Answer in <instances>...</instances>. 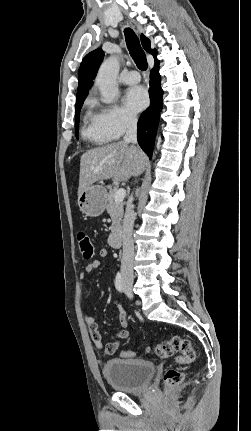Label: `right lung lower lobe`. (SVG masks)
Instances as JSON below:
<instances>
[{"instance_id": "obj_1", "label": "right lung lower lobe", "mask_w": 251, "mask_h": 431, "mask_svg": "<svg viewBox=\"0 0 251 431\" xmlns=\"http://www.w3.org/2000/svg\"><path fill=\"white\" fill-rule=\"evenodd\" d=\"M158 65L159 61L156 59L155 67L151 71L150 75V106L141 114L137 124L138 143L149 157L152 156V151L154 149L153 145L155 142L160 112L162 110L163 91L160 87L161 77L158 73Z\"/></svg>"}]
</instances>
